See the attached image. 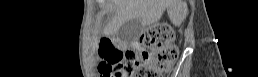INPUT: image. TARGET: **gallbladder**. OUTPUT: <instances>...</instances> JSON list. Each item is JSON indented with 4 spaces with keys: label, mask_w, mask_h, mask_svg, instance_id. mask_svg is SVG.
Instances as JSON below:
<instances>
[{
    "label": "gallbladder",
    "mask_w": 258,
    "mask_h": 77,
    "mask_svg": "<svg viewBox=\"0 0 258 77\" xmlns=\"http://www.w3.org/2000/svg\"><path fill=\"white\" fill-rule=\"evenodd\" d=\"M142 29L143 26L139 19L128 20L119 28L118 36L122 41L130 42L139 36Z\"/></svg>",
    "instance_id": "gallbladder-1"
}]
</instances>
